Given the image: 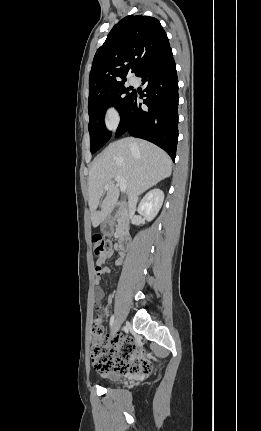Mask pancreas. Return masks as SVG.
Returning <instances> with one entry per match:
<instances>
[{"label": "pancreas", "instance_id": "cf45deb5", "mask_svg": "<svg viewBox=\"0 0 261 431\" xmlns=\"http://www.w3.org/2000/svg\"><path fill=\"white\" fill-rule=\"evenodd\" d=\"M117 222H118V225H117V229H116V235L119 236L120 230H121V228L125 222V218L121 212L117 213Z\"/></svg>", "mask_w": 261, "mask_h": 431}]
</instances>
